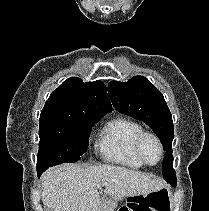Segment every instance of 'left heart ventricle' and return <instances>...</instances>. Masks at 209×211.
Wrapping results in <instances>:
<instances>
[{"mask_svg": "<svg viewBox=\"0 0 209 211\" xmlns=\"http://www.w3.org/2000/svg\"><path fill=\"white\" fill-rule=\"evenodd\" d=\"M143 153L150 163H155L159 159V147L155 141L147 139L143 144Z\"/></svg>", "mask_w": 209, "mask_h": 211, "instance_id": "left-heart-ventricle-1", "label": "left heart ventricle"}]
</instances>
